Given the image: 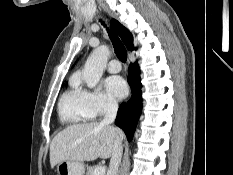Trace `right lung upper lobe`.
I'll use <instances>...</instances> for the list:
<instances>
[{
    "instance_id": "1",
    "label": "right lung upper lobe",
    "mask_w": 233,
    "mask_h": 175,
    "mask_svg": "<svg viewBox=\"0 0 233 175\" xmlns=\"http://www.w3.org/2000/svg\"><path fill=\"white\" fill-rule=\"evenodd\" d=\"M111 27L113 30H115L120 38L122 39L123 43L127 47L128 50L132 51L134 50V45H133V36L129 32L127 28H125L123 25H121L117 20L112 19L111 22Z\"/></svg>"
}]
</instances>
